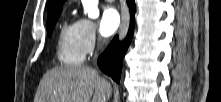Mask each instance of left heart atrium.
Returning a JSON list of instances; mask_svg holds the SVG:
<instances>
[{"instance_id": "left-heart-atrium-1", "label": "left heart atrium", "mask_w": 221, "mask_h": 102, "mask_svg": "<svg viewBox=\"0 0 221 102\" xmlns=\"http://www.w3.org/2000/svg\"><path fill=\"white\" fill-rule=\"evenodd\" d=\"M121 25V17L119 12L113 8L108 7L104 10L101 18V32L105 36L113 34Z\"/></svg>"}]
</instances>
